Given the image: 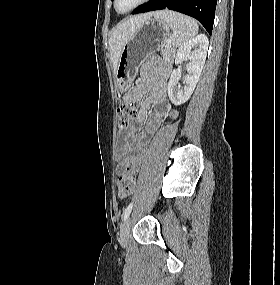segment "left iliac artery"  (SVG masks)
<instances>
[{"label": "left iliac artery", "mask_w": 280, "mask_h": 285, "mask_svg": "<svg viewBox=\"0 0 280 285\" xmlns=\"http://www.w3.org/2000/svg\"><path fill=\"white\" fill-rule=\"evenodd\" d=\"M132 207H133V202H131V203L126 207V209L124 210V212H123V220H124V221L128 218V216H129V214H130V212H131V210H132Z\"/></svg>", "instance_id": "left-iliac-artery-1"}]
</instances>
